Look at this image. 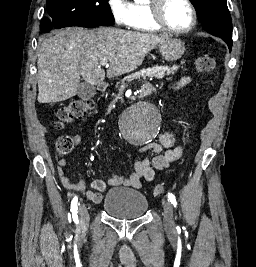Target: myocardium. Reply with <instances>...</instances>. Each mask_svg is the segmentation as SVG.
<instances>
[{
  "instance_id": "obj_1",
  "label": "myocardium",
  "mask_w": 256,
  "mask_h": 267,
  "mask_svg": "<svg viewBox=\"0 0 256 267\" xmlns=\"http://www.w3.org/2000/svg\"><path fill=\"white\" fill-rule=\"evenodd\" d=\"M152 1H153L152 4L153 6H152V11L150 13V19L148 21H145L146 23L151 25L150 30L147 31H153V29L155 28L157 30L164 31L170 34L184 35L191 32L195 28L197 24V14L194 6L191 4L189 0H180L189 7L192 17L190 26L183 30H177L172 28L167 24V22L163 18L162 13L164 10V5L169 0H152Z\"/></svg>"
}]
</instances>
